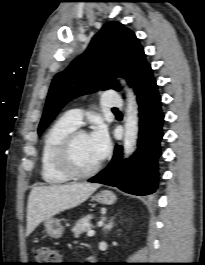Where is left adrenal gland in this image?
<instances>
[{"mask_svg":"<svg viewBox=\"0 0 205 265\" xmlns=\"http://www.w3.org/2000/svg\"><path fill=\"white\" fill-rule=\"evenodd\" d=\"M113 218H111V220L108 222V224H106L105 226H104V228H105V230H106V232L107 231H110L112 228H113Z\"/></svg>","mask_w":205,"mask_h":265,"instance_id":"1","label":"left adrenal gland"}]
</instances>
